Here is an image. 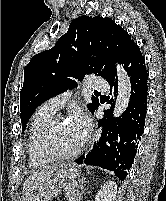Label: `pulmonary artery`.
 I'll return each instance as SVG.
<instances>
[{"label":"pulmonary artery","mask_w":166,"mask_h":201,"mask_svg":"<svg viewBox=\"0 0 166 201\" xmlns=\"http://www.w3.org/2000/svg\"><path fill=\"white\" fill-rule=\"evenodd\" d=\"M87 86L92 89H100L105 90L108 87V84L105 80H102L97 77H92L88 79ZM72 93L70 91L54 96L47 100L43 107L46 109H49L53 112H57L60 108L63 107V105L66 103V101L71 97Z\"/></svg>","instance_id":"pulmonary-artery-1"}]
</instances>
